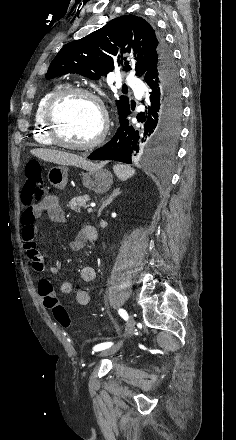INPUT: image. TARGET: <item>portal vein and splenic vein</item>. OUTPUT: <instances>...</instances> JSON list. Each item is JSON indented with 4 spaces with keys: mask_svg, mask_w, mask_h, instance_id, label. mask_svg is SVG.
Returning a JSON list of instances; mask_svg holds the SVG:
<instances>
[{
    "mask_svg": "<svg viewBox=\"0 0 236 440\" xmlns=\"http://www.w3.org/2000/svg\"><path fill=\"white\" fill-rule=\"evenodd\" d=\"M87 211H88L89 213H91V212L93 211L92 207H89V208L87 209Z\"/></svg>",
    "mask_w": 236,
    "mask_h": 440,
    "instance_id": "obj_1",
    "label": "portal vein and splenic vein"
}]
</instances>
